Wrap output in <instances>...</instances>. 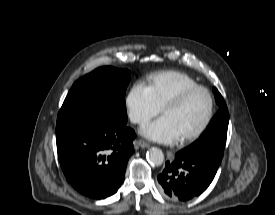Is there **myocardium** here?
<instances>
[{"label": "myocardium", "instance_id": "1", "mask_svg": "<svg viewBox=\"0 0 275 215\" xmlns=\"http://www.w3.org/2000/svg\"><path fill=\"white\" fill-rule=\"evenodd\" d=\"M198 90L204 91L208 96V99H209L208 113L205 119L203 120V122L193 132H191L190 134L184 137L179 138V142L181 144L188 143L198 138L211 123L212 118L214 116V111H215V100H214L213 94L207 87L196 84L193 86L186 87L181 91H179L175 96L170 98L161 108V113L164 114L166 110L180 105L187 96H189L191 93Z\"/></svg>", "mask_w": 275, "mask_h": 215}]
</instances>
